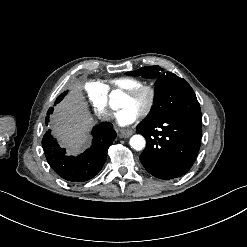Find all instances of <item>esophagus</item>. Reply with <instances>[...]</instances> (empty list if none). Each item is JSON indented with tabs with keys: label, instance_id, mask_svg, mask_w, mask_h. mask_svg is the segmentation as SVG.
Segmentation results:
<instances>
[{
	"label": "esophagus",
	"instance_id": "obj_1",
	"mask_svg": "<svg viewBox=\"0 0 247 247\" xmlns=\"http://www.w3.org/2000/svg\"><path fill=\"white\" fill-rule=\"evenodd\" d=\"M133 133H134V131L131 130V129H124L123 128V129L120 130V134L124 138L130 137Z\"/></svg>",
	"mask_w": 247,
	"mask_h": 247
}]
</instances>
